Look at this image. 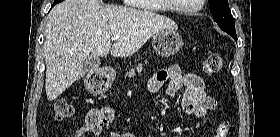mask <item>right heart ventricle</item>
<instances>
[{
	"label": "right heart ventricle",
	"instance_id": "1",
	"mask_svg": "<svg viewBox=\"0 0 280 137\" xmlns=\"http://www.w3.org/2000/svg\"><path fill=\"white\" fill-rule=\"evenodd\" d=\"M146 1H150V2H158L159 0H146ZM145 10H150V11H164L163 9H159L157 7H151V8H144Z\"/></svg>",
	"mask_w": 280,
	"mask_h": 137
}]
</instances>
